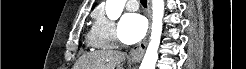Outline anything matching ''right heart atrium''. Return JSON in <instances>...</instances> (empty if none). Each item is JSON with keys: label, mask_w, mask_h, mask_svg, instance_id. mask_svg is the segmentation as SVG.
I'll use <instances>...</instances> for the list:
<instances>
[{"label": "right heart atrium", "mask_w": 246, "mask_h": 69, "mask_svg": "<svg viewBox=\"0 0 246 69\" xmlns=\"http://www.w3.org/2000/svg\"><path fill=\"white\" fill-rule=\"evenodd\" d=\"M95 46L98 48H108L117 44L116 25L109 20L103 12H99L93 26Z\"/></svg>", "instance_id": "right-heart-atrium-1"}]
</instances>
